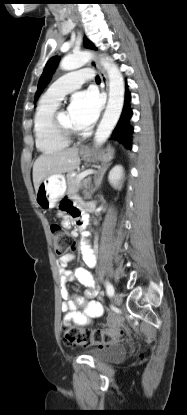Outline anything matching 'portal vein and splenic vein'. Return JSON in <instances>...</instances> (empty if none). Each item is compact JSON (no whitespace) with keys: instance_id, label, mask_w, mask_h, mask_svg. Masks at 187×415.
<instances>
[{"instance_id":"obj_1","label":"portal vein and splenic vein","mask_w":187,"mask_h":415,"mask_svg":"<svg viewBox=\"0 0 187 415\" xmlns=\"http://www.w3.org/2000/svg\"><path fill=\"white\" fill-rule=\"evenodd\" d=\"M92 173H94V171H93V170H86V171H83L82 173H80V174L78 175L77 180H78V181H81V180H82L83 178H85L87 175L92 174Z\"/></svg>"}]
</instances>
